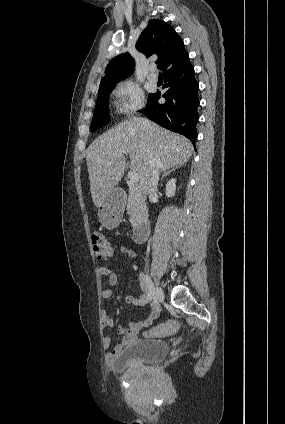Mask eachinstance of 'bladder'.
<instances>
[{"label": "bladder", "mask_w": 285, "mask_h": 424, "mask_svg": "<svg viewBox=\"0 0 285 424\" xmlns=\"http://www.w3.org/2000/svg\"><path fill=\"white\" fill-rule=\"evenodd\" d=\"M169 352L168 344L162 340H140L123 348L113 362L117 369H128L135 363L155 364Z\"/></svg>", "instance_id": "bladder-1"}]
</instances>
